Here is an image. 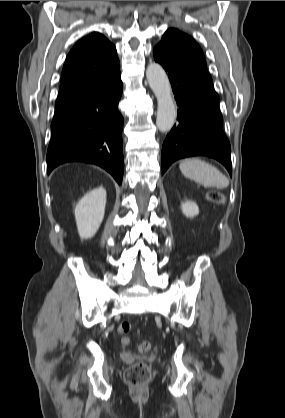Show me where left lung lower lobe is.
Returning <instances> with one entry per match:
<instances>
[{
  "mask_svg": "<svg viewBox=\"0 0 285 418\" xmlns=\"http://www.w3.org/2000/svg\"><path fill=\"white\" fill-rule=\"evenodd\" d=\"M153 53L168 73L180 108L178 125L163 143L162 174L178 159L204 155L221 162L231 175L230 143L207 67L175 40L162 39Z\"/></svg>",
  "mask_w": 285,
  "mask_h": 418,
  "instance_id": "0a47b994",
  "label": "left lung lower lobe"
}]
</instances>
